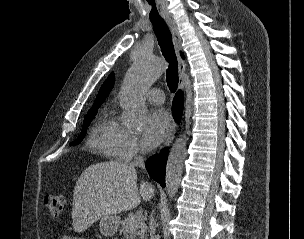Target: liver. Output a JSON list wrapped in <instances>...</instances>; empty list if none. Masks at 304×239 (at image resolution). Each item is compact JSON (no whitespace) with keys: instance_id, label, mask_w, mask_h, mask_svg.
I'll list each match as a JSON object with an SVG mask.
<instances>
[{"instance_id":"obj_1","label":"liver","mask_w":304,"mask_h":239,"mask_svg":"<svg viewBox=\"0 0 304 239\" xmlns=\"http://www.w3.org/2000/svg\"><path fill=\"white\" fill-rule=\"evenodd\" d=\"M155 188L142 181L132 165L102 162L86 168L78 178L73 195L72 225L75 232L87 230L103 216L117 215L136 208L141 198L149 201Z\"/></svg>"}]
</instances>
